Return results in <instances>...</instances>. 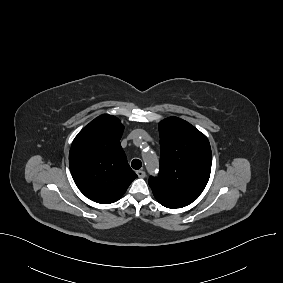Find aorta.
I'll use <instances>...</instances> for the list:
<instances>
[{
  "label": "aorta",
  "instance_id": "obj_1",
  "mask_svg": "<svg viewBox=\"0 0 283 283\" xmlns=\"http://www.w3.org/2000/svg\"><path fill=\"white\" fill-rule=\"evenodd\" d=\"M146 166L148 168V171L150 173H154L157 170L158 167V159L157 156L152 151H147L144 153L143 156Z\"/></svg>",
  "mask_w": 283,
  "mask_h": 283
}]
</instances>
